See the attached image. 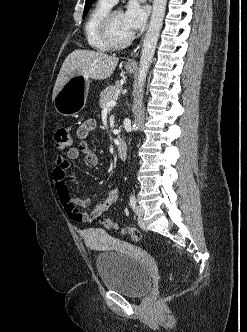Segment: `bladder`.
<instances>
[{
    "label": "bladder",
    "mask_w": 247,
    "mask_h": 332,
    "mask_svg": "<svg viewBox=\"0 0 247 332\" xmlns=\"http://www.w3.org/2000/svg\"><path fill=\"white\" fill-rule=\"evenodd\" d=\"M90 245L88 235L84 237ZM153 259L137 248L117 245L96 256V268L102 285L124 296H144L153 283Z\"/></svg>",
    "instance_id": "1"
}]
</instances>
